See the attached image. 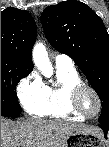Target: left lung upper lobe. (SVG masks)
Segmentation results:
<instances>
[{
	"mask_svg": "<svg viewBox=\"0 0 109 147\" xmlns=\"http://www.w3.org/2000/svg\"><path fill=\"white\" fill-rule=\"evenodd\" d=\"M41 22L50 44L70 56L102 101L99 123L109 124V34L86 4L69 0L48 6Z\"/></svg>",
	"mask_w": 109,
	"mask_h": 147,
	"instance_id": "left-lung-upper-lobe-1",
	"label": "left lung upper lobe"
}]
</instances>
